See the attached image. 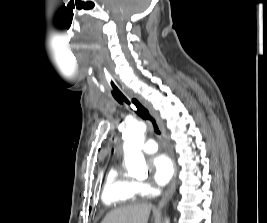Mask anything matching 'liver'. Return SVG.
Segmentation results:
<instances>
[{
  "label": "liver",
  "instance_id": "6515ba94",
  "mask_svg": "<svg viewBox=\"0 0 267 223\" xmlns=\"http://www.w3.org/2000/svg\"><path fill=\"white\" fill-rule=\"evenodd\" d=\"M150 210L151 204L147 203L122 206L110 211L101 223H147Z\"/></svg>",
  "mask_w": 267,
  "mask_h": 223
}]
</instances>
